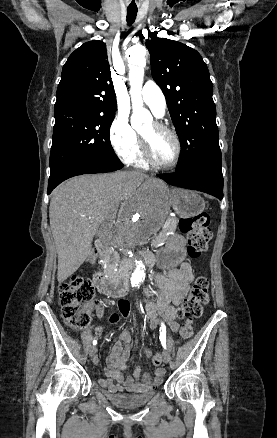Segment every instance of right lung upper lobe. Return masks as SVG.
Here are the masks:
<instances>
[{
  "instance_id": "obj_1",
  "label": "right lung upper lobe",
  "mask_w": 277,
  "mask_h": 438,
  "mask_svg": "<svg viewBox=\"0 0 277 438\" xmlns=\"http://www.w3.org/2000/svg\"><path fill=\"white\" fill-rule=\"evenodd\" d=\"M56 96L55 116L115 115L116 95L105 43L87 42L70 55Z\"/></svg>"
}]
</instances>
